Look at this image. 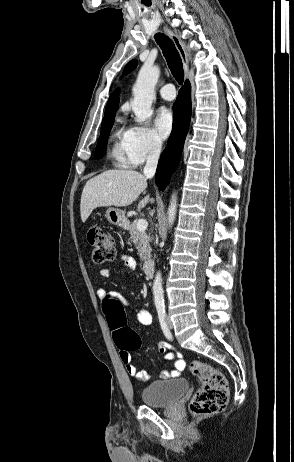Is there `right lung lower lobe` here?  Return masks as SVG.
I'll return each instance as SVG.
<instances>
[{
  "instance_id": "98d812e1",
  "label": "right lung lower lobe",
  "mask_w": 294,
  "mask_h": 462,
  "mask_svg": "<svg viewBox=\"0 0 294 462\" xmlns=\"http://www.w3.org/2000/svg\"><path fill=\"white\" fill-rule=\"evenodd\" d=\"M173 107V129L167 148L161 154L155 175L156 184L161 190L169 183L172 173L179 164L189 128L191 118V86L188 80L180 89Z\"/></svg>"
}]
</instances>
